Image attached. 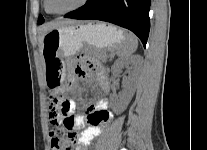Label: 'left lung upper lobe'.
<instances>
[{
    "instance_id": "obj_1",
    "label": "left lung upper lobe",
    "mask_w": 207,
    "mask_h": 150,
    "mask_svg": "<svg viewBox=\"0 0 207 150\" xmlns=\"http://www.w3.org/2000/svg\"><path fill=\"white\" fill-rule=\"evenodd\" d=\"M43 22H44V18L42 17V15H40L38 19V23L42 24Z\"/></svg>"
}]
</instances>
